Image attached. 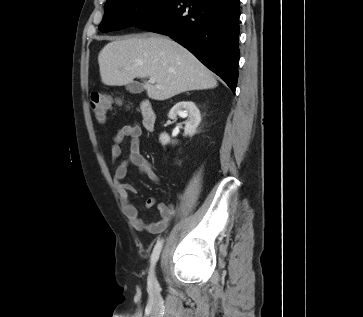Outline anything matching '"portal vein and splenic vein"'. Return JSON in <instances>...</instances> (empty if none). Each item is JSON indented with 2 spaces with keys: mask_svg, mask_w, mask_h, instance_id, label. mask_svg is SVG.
<instances>
[{
  "mask_svg": "<svg viewBox=\"0 0 363 317\" xmlns=\"http://www.w3.org/2000/svg\"><path fill=\"white\" fill-rule=\"evenodd\" d=\"M149 82L150 83H155V78H150Z\"/></svg>",
  "mask_w": 363,
  "mask_h": 317,
  "instance_id": "18ae733b",
  "label": "portal vein and splenic vein"
}]
</instances>
